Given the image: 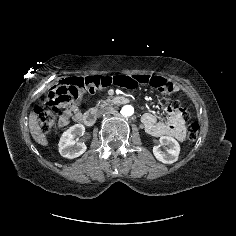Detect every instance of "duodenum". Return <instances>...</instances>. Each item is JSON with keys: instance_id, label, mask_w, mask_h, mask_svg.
<instances>
[{"instance_id": "obj_1", "label": "duodenum", "mask_w": 236, "mask_h": 236, "mask_svg": "<svg viewBox=\"0 0 236 236\" xmlns=\"http://www.w3.org/2000/svg\"><path fill=\"white\" fill-rule=\"evenodd\" d=\"M129 99L126 96L120 95V96H114V97H110L107 99L106 103L102 104L100 106V108H93L91 110H89L88 112L84 113L81 116L82 122L86 125V126H92L95 121H96V117H97V113L100 110H104L106 108H108L110 105L115 104V103H128Z\"/></svg>"}]
</instances>
